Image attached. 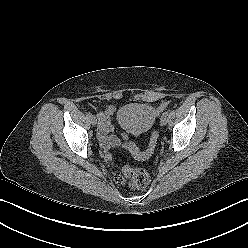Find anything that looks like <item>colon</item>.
Masks as SVG:
<instances>
[{"mask_svg": "<svg viewBox=\"0 0 248 248\" xmlns=\"http://www.w3.org/2000/svg\"><path fill=\"white\" fill-rule=\"evenodd\" d=\"M158 134L152 132L149 146L145 151H140L132 142H127L125 148L138 158L149 157L156 146ZM115 182L122 185H128L131 189H142L149 184L150 177L148 172L142 168H133L130 165H125L120 172L115 174Z\"/></svg>", "mask_w": 248, "mask_h": 248, "instance_id": "colon-1", "label": "colon"}]
</instances>
